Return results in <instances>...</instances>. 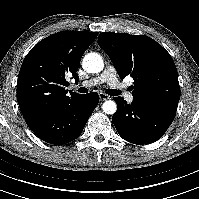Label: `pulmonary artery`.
I'll list each match as a JSON object with an SVG mask.
<instances>
[{
	"label": "pulmonary artery",
	"mask_w": 199,
	"mask_h": 199,
	"mask_svg": "<svg viewBox=\"0 0 199 199\" xmlns=\"http://www.w3.org/2000/svg\"><path fill=\"white\" fill-rule=\"evenodd\" d=\"M103 83L110 85L113 89L118 91L119 94H122L129 103L134 101V96L127 91L125 84L119 80L117 71L113 66L106 67L100 75L91 80L82 82L80 86L92 87Z\"/></svg>",
	"instance_id": "pulmonary-artery-1"
}]
</instances>
